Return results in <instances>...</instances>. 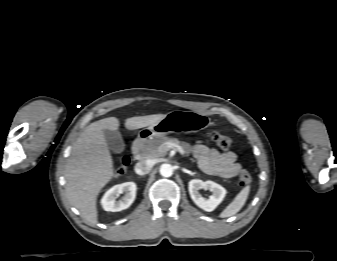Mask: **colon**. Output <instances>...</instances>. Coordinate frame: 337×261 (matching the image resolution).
<instances>
[{
  "instance_id": "5ec220e1",
  "label": "colon",
  "mask_w": 337,
  "mask_h": 261,
  "mask_svg": "<svg viewBox=\"0 0 337 261\" xmlns=\"http://www.w3.org/2000/svg\"><path fill=\"white\" fill-rule=\"evenodd\" d=\"M210 137L212 141L222 150H228L231 147V139L220 132H212ZM129 163H130L129 158L127 156L123 157L120 160L119 164L116 166L115 174L122 175L126 171ZM251 181L252 177L247 171H242L239 174L238 177L239 187L242 188L247 187L248 185H250Z\"/></svg>"
}]
</instances>
